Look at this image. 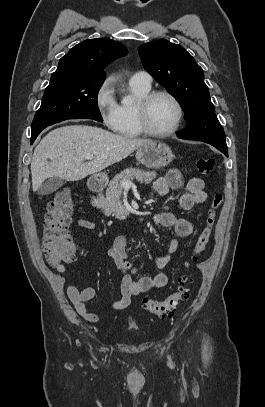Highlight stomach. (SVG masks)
<instances>
[{"instance_id": "stomach-1", "label": "stomach", "mask_w": 265, "mask_h": 407, "mask_svg": "<svg viewBox=\"0 0 265 407\" xmlns=\"http://www.w3.org/2000/svg\"><path fill=\"white\" fill-rule=\"evenodd\" d=\"M136 159L145 167L158 169L169 165L174 159V154L165 143L151 141L137 148ZM94 179L103 183L107 176L99 173L94 175Z\"/></svg>"}]
</instances>
